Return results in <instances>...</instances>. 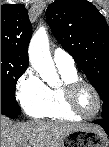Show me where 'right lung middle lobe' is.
Segmentation results:
<instances>
[{"label":"right lung middle lobe","instance_id":"1","mask_svg":"<svg viewBox=\"0 0 109 147\" xmlns=\"http://www.w3.org/2000/svg\"><path fill=\"white\" fill-rule=\"evenodd\" d=\"M26 69V64L1 53V105L15 115L21 113L15 100V85Z\"/></svg>","mask_w":109,"mask_h":147}]
</instances>
